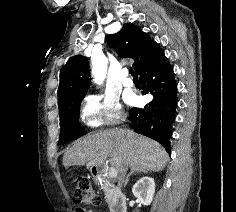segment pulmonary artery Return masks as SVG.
Listing matches in <instances>:
<instances>
[{"instance_id": "obj_1", "label": "pulmonary artery", "mask_w": 236, "mask_h": 212, "mask_svg": "<svg viewBox=\"0 0 236 212\" xmlns=\"http://www.w3.org/2000/svg\"><path fill=\"white\" fill-rule=\"evenodd\" d=\"M121 76H122V86L128 88L133 86V81L128 77V73L126 71H123Z\"/></svg>"}]
</instances>
